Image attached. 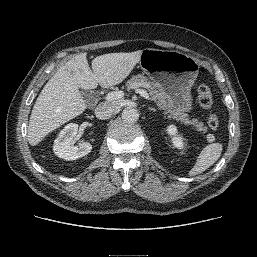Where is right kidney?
<instances>
[{
  "label": "right kidney",
  "instance_id": "obj_1",
  "mask_svg": "<svg viewBox=\"0 0 257 257\" xmlns=\"http://www.w3.org/2000/svg\"><path fill=\"white\" fill-rule=\"evenodd\" d=\"M77 131L78 124L75 123L67 124L64 129L60 131L53 146V151L59 158L68 161L76 160L91 152L92 145L88 142L73 146Z\"/></svg>",
  "mask_w": 257,
  "mask_h": 257
}]
</instances>
